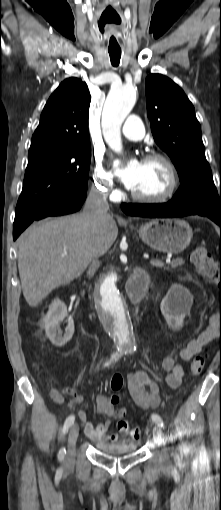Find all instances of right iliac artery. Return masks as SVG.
<instances>
[{
  "label": "right iliac artery",
  "instance_id": "right-iliac-artery-1",
  "mask_svg": "<svg viewBox=\"0 0 221 510\" xmlns=\"http://www.w3.org/2000/svg\"><path fill=\"white\" fill-rule=\"evenodd\" d=\"M115 358V355L114 357ZM74 420H75V416L74 415H70L66 420H65V423H64V426H63V433H66L68 431V429L70 428V426L73 425L74 423ZM66 453V450L65 448H62L60 451H59V454H58V458L60 460L63 459L64 455Z\"/></svg>",
  "mask_w": 221,
  "mask_h": 510
}]
</instances>
